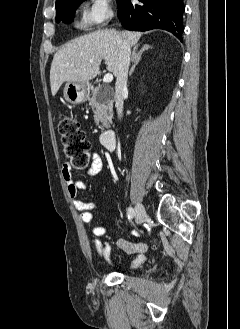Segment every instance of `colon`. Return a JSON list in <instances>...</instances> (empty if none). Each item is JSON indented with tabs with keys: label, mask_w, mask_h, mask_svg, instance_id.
I'll return each instance as SVG.
<instances>
[{
	"label": "colon",
	"mask_w": 240,
	"mask_h": 329,
	"mask_svg": "<svg viewBox=\"0 0 240 329\" xmlns=\"http://www.w3.org/2000/svg\"><path fill=\"white\" fill-rule=\"evenodd\" d=\"M59 132L66 158L72 167L87 169L90 162V143L77 121L67 115L59 121Z\"/></svg>",
	"instance_id": "colon-1"
}]
</instances>
